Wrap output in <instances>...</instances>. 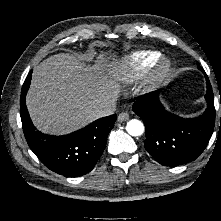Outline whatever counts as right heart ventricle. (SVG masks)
Listing matches in <instances>:
<instances>
[{"label":"right heart ventricle","mask_w":221,"mask_h":221,"mask_svg":"<svg viewBox=\"0 0 221 221\" xmlns=\"http://www.w3.org/2000/svg\"><path fill=\"white\" fill-rule=\"evenodd\" d=\"M161 54L142 50L127 55L117 69V76L126 83H133L143 77L154 66Z\"/></svg>","instance_id":"obj_1"}]
</instances>
